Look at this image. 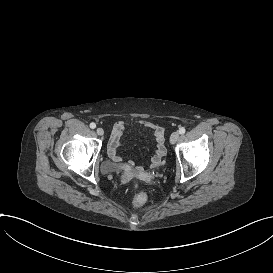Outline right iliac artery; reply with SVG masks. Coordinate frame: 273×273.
<instances>
[{
	"label": "right iliac artery",
	"instance_id": "1",
	"mask_svg": "<svg viewBox=\"0 0 273 273\" xmlns=\"http://www.w3.org/2000/svg\"><path fill=\"white\" fill-rule=\"evenodd\" d=\"M95 127H96V124L92 122V123L90 124V128L94 129Z\"/></svg>",
	"mask_w": 273,
	"mask_h": 273
}]
</instances>
